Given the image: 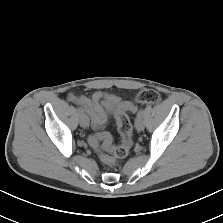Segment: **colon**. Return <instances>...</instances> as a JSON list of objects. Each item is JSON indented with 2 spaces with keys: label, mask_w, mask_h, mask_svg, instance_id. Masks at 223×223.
<instances>
[{
  "label": "colon",
  "mask_w": 223,
  "mask_h": 223,
  "mask_svg": "<svg viewBox=\"0 0 223 223\" xmlns=\"http://www.w3.org/2000/svg\"><path fill=\"white\" fill-rule=\"evenodd\" d=\"M160 95L155 90L144 89L139 91L132 102L121 103L116 112L115 119L121 138V144L114 146L112 137L107 132H101L90 138V144L98 153L100 159L111 167H116L120 160L125 158L133 144L132 124L127 111L134 112L138 104L154 105L159 103Z\"/></svg>",
  "instance_id": "5ec220e1"
}]
</instances>
